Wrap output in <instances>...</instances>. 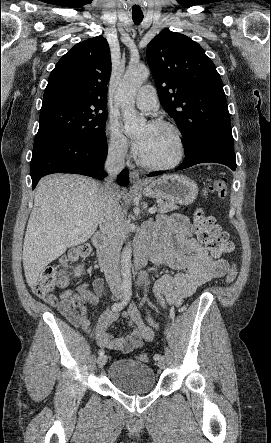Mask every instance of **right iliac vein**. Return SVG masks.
Listing matches in <instances>:
<instances>
[{"instance_id":"obj_1","label":"right iliac vein","mask_w":271,"mask_h":443,"mask_svg":"<svg viewBox=\"0 0 271 443\" xmlns=\"http://www.w3.org/2000/svg\"><path fill=\"white\" fill-rule=\"evenodd\" d=\"M106 363H107V356L106 355H101L98 357L97 364H98L99 368H103Z\"/></svg>"}]
</instances>
